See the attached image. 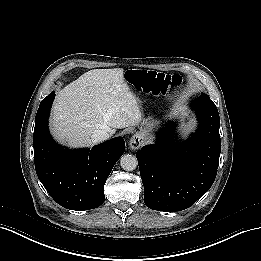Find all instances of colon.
<instances>
[{
  "label": "colon",
  "mask_w": 261,
  "mask_h": 261,
  "mask_svg": "<svg viewBox=\"0 0 261 261\" xmlns=\"http://www.w3.org/2000/svg\"><path fill=\"white\" fill-rule=\"evenodd\" d=\"M134 76L142 89L153 95L169 93V84L176 82L174 76H167L156 71L138 70L134 72Z\"/></svg>",
  "instance_id": "colon-1"
}]
</instances>
